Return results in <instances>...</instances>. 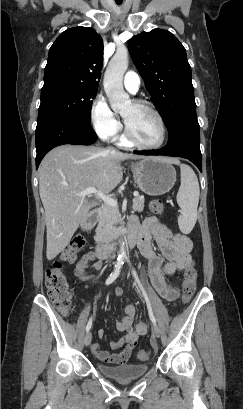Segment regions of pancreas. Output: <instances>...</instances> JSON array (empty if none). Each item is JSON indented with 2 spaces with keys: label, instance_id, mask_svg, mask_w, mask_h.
Wrapping results in <instances>:
<instances>
[{
  "label": "pancreas",
  "instance_id": "obj_1",
  "mask_svg": "<svg viewBox=\"0 0 243 409\" xmlns=\"http://www.w3.org/2000/svg\"><path fill=\"white\" fill-rule=\"evenodd\" d=\"M134 211L142 212L144 209V197L136 196L133 199ZM120 222L118 207L104 204L99 211L98 226L96 228L95 240L98 243H107L113 239L115 224Z\"/></svg>",
  "mask_w": 243,
  "mask_h": 409
}]
</instances>
